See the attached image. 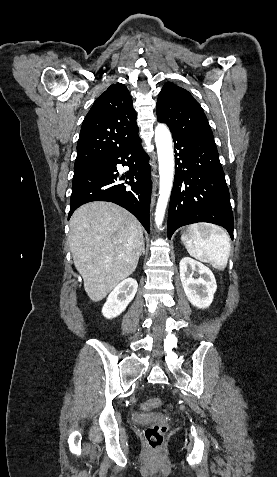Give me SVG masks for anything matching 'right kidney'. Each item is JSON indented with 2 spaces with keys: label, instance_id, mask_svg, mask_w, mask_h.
<instances>
[{
  "label": "right kidney",
  "instance_id": "ca27d5eb",
  "mask_svg": "<svg viewBox=\"0 0 277 477\" xmlns=\"http://www.w3.org/2000/svg\"><path fill=\"white\" fill-rule=\"evenodd\" d=\"M138 288V283L133 278H127L118 284L109 294L102 308L104 317L110 319L120 315L133 300Z\"/></svg>",
  "mask_w": 277,
  "mask_h": 477
}]
</instances>
